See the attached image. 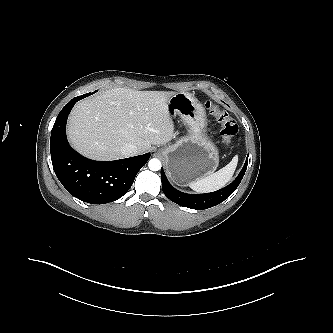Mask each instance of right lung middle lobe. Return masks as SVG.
Wrapping results in <instances>:
<instances>
[{
  "instance_id": "obj_1",
  "label": "right lung middle lobe",
  "mask_w": 333,
  "mask_h": 333,
  "mask_svg": "<svg viewBox=\"0 0 333 333\" xmlns=\"http://www.w3.org/2000/svg\"><path fill=\"white\" fill-rule=\"evenodd\" d=\"M96 91H94L93 93H95ZM93 93H87V94H84V95H82L81 97L82 98H85V97H87V96H89V95H91V94H93Z\"/></svg>"
}]
</instances>
